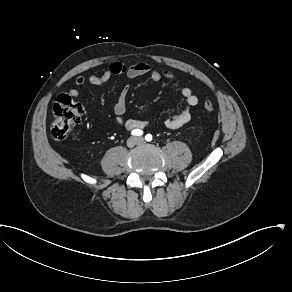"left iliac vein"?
<instances>
[{"label": "left iliac vein", "mask_w": 292, "mask_h": 292, "mask_svg": "<svg viewBox=\"0 0 292 292\" xmlns=\"http://www.w3.org/2000/svg\"><path fill=\"white\" fill-rule=\"evenodd\" d=\"M139 141L142 142L143 140L140 138Z\"/></svg>", "instance_id": "left-iliac-vein-1"}]
</instances>
